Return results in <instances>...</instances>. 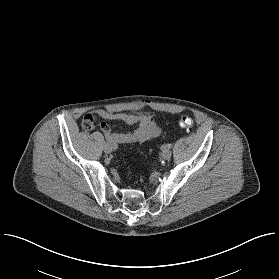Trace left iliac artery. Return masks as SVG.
Here are the masks:
<instances>
[{"instance_id":"44dca946","label":"left iliac artery","mask_w":279,"mask_h":279,"mask_svg":"<svg viewBox=\"0 0 279 279\" xmlns=\"http://www.w3.org/2000/svg\"><path fill=\"white\" fill-rule=\"evenodd\" d=\"M172 147V144H166L162 146V149H170Z\"/></svg>"}]
</instances>
